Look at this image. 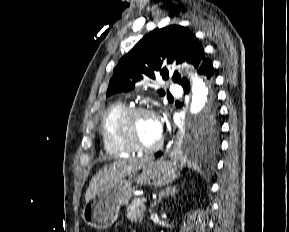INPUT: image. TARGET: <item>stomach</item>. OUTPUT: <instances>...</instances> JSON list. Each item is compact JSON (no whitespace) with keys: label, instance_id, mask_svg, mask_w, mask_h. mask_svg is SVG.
<instances>
[{"label":"stomach","instance_id":"obj_1","mask_svg":"<svg viewBox=\"0 0 289 232\" xmlns=\"http://www.w3.org/2000/svg\"><path fill=\"white\" fill-rule=\"evenodd\" d=\"M177 178V167L165 160L149 161L142 172L119 179L110 188L95 194L85 203L82 211L84 221L98 230L110 227L118 218L119 209L128 204L134 191V182L140 185L161 187Z\"/></svg>","mask_w":289,"mask_h":232}]
</instances>
